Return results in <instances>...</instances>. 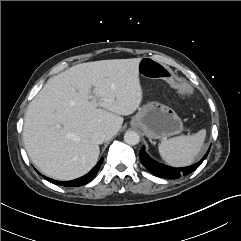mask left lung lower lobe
Wrapping results in <instances>:
<instances>
[{
    "mask_svg": "<svg viewBox=\"0 0 241 241\" xmlns=\"http://www.w3.org/2000/svg\"><path fill=\"white\" fill-rule=\"evenodd\" d=\"M209 150L198 163L188 167H183V168H173V167L158 163L157 161L153 160L146 154L144 146L139 151V157L144 167L148 169L151 173H153L155 176L166 177L169 179H178L181 176L189 175L196 168H198L201 165V163L204 161V159L207 157Z\"/></svg>",
    "mask_w": 241,
    "mask_h": 241,
    "instance_id": "0a47b994",
    "label": "left lung lower lobe"
}]
</instances>
